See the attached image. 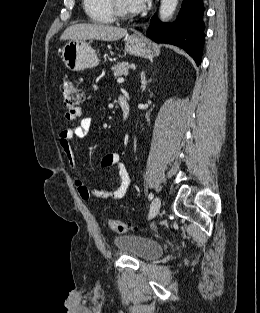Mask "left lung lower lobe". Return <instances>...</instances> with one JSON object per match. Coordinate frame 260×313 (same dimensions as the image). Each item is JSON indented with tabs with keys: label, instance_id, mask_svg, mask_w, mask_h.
Listing matches in <instances>:
<instances>
[{
	"label": "left lung lower lobe",
	"instance_id": "0a47b994",
	"mask_svg": "<svg viewBox=\"0 0 260 313\" xmlns=\"http://www.w3.org/2000/svg\"><path fill=\"white\" fill-rule=\"evenodd\" d=\"M203 14L202 0H183L175 23H161L154 15L147 35L157 43H169L183 48L199 65L205 41Z\"/></svg>",
	"mask_w": 260,
	"mask_h": 313
}]
</instances>
